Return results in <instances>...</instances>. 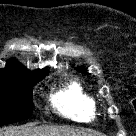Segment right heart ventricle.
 <instances>
[{
	"label": "right heart ventricle",
	"instance_id": "obj_1",
	"mask_svg": "<svg viewBox=\"0 0 136 136\" xmlns=\"http://www.w3.org/2000/svg\"><path fill=\"white\" fill-rule=\"evenodd\" d=\"M53 106L64 116L76 121H90L95 117L97 104L76 79L67 80L52 94Z\"/></svg>",
	"mask_w": 136,
	"mask_h": 136
}]
</instances>
